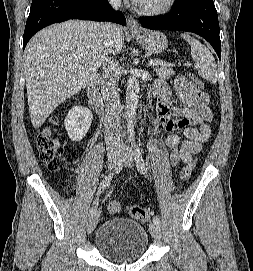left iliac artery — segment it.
Here are the masks:
<instances>
[{
    "instance_id": "left-iliac-artery-1",
    "label": "left iliac artery",
    "mask_w": 253,
    "mask_h": 271,
    "mask_svg": "<svg viewBox=\"0 0 253 271\" xmlns=\"http://www.w3.org/2000/svg\"><path fill=\"white\" fill-rule=\"evenodd\" d=\"M133 146H134V156H135V161H136L138 171L141 174L146 175L147 172H146L145 162L143 159L142 150L135 141H133ZM153 222L158 225H160V223H161L160 218L158 216H155L153 218Z\"/></svg>"
}]
</instances>
